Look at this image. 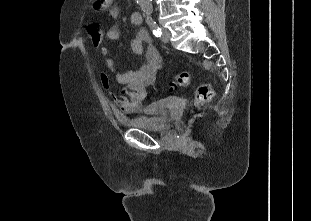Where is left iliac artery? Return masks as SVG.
<instances>
[{"label":"left iliac artery","instance_id":"left-iliac-artery-1","mask_svg":"<svg viewBox=\"0 0 311 221\" xmlns=\"http://www.w3.org/2000/svg\"><path fill=\"white\" fill-rule=\"evenodd\" d=\"M147 24L149 25L151 31L156 37H161L162 35L161 29L153 19H148Z\"/></svg>","mask_w":311,"mask_h":221}]
</instances>
